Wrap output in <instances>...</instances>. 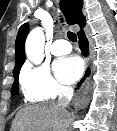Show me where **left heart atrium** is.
I'll list each match as a JSON object with an SVG mask.
<instances>
[{
    "label": "left heart atrium",
    "instance_id": "obj_1",
    "mask_svg": "<svg viewBox=\"0 0 117 131\" xmlns=\"http://www.w3.org/2000/svg\"><path fill=\"white\" fill-rule=\"evenodd\" d=\"M54 71L59 80L71 84L82 75L83 63L76 56L60 58L54 63Z\"/></svg>",
    "mask_w": 117,
    "mask_h": 131
}]
</instances>
